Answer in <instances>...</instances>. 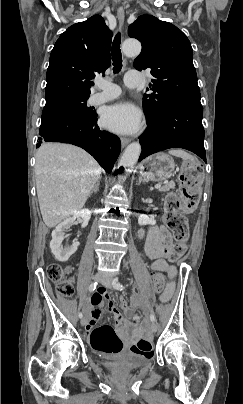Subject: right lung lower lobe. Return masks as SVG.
<instances>
[{"label": "right lung lower lobe", "instance_id": "obj_1", "mask_svg": "<svg viewBox=\"0 0 243 404\" xmlns=\"http://www.w3.org/2000/svg\"><path fill=\"white\" fill-rule=\"evenodd\" d=\"M40 144L45 142L71 143L85 149L111 173L120 153V139L97 125V114L88 117L80 113H65L54 117L40 126Z\"/></svg>", "mask_w": 243, "mask_h": 404}]
</instances>
